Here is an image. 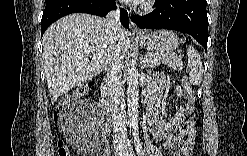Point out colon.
Here are the masks:
<instances>
[{
  "label": "colon",
  "instance_id": "colon-1",
  "mask_svg": "<svg viewBox=\"0 0 247 156\" xmlns=\"http://www.w3.org/2000/svg\"><path fill=\"white\" fill-rule=\"evenodd\" d=\"M93 86V83H87L81 87H78L73 92L64 95L55 112H54V120L57 124H64L67 121L66 112L68 108L71 106L73 102L81 98L88 90ZM183 88L185 90L186 98H187V106L186 111L190 118L193 117L195 113V104H196V95L194 89L191 87L190 83L184 79L183 80ZM57 155L58 156H69L70 149L68 145L65 143L63 139H59L57 141Z\"/></svg>",
  "mask_w": 247,
  "mask_h": 156
}]
</instances>
